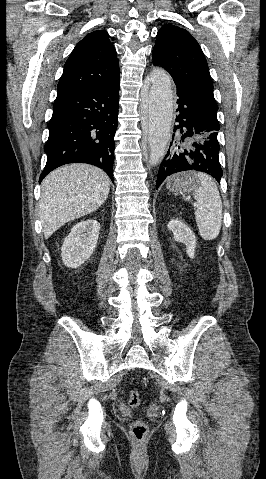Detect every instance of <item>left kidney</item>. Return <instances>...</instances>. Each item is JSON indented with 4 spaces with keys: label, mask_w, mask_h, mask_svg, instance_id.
<instances>
[{
    "label": "left kidney",
    "mask_w": 266,
    "mask_h": 479,
    "mask_svg": "<svg viewBox=\"0 0 266 479\" xmlns=\"http://www.w3.org/2000/svg\"><path fill=\"white\" fill-rule=\"evenodd\" d=\"M168 229L172 231L175 241L183 243L186 246V253L190 258H193L195 254L196 237L192 230L177 219L169 221Z\"/></svg>",
    "instance_id": "5707ae66"
}]
</instances>
